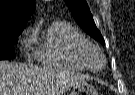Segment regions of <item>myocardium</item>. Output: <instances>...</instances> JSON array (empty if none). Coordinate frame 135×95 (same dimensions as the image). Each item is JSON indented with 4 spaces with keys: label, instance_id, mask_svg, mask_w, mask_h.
<instances>
[{
    "label": "myocardium",
    "instance_id": "myocardium-1",
    "mask_svg": "<svg viewBox=\"0 0 135 95\" xmlns=\"http://www.w3.org/2000/svg\"><path fill=\"white\" fill-rule=\"evenodd\" d=\"M74 53H75V56L77 57V59L82 63V65L86 69H89L91 71H94V72L101 71L102 69H104V67L106 65V60H105V57H104L103 53L101 52V50L88 41L77 44L74 47ZM92 53L97 54L101 58L102 65L100 68H93L89 64V55Z\"/></svg>",
    "mask_w": 135,
    "mask_h": 95
}]
</instances>
